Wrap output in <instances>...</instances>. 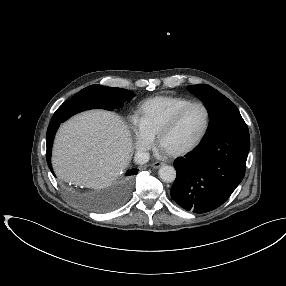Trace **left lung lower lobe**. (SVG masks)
I'll use <instances>...</instances> for the list:
<instances>
[{
    "mask_svg": "<svg viewBox=\"0 0 286 286\" xmlns=\"http://www.w3.org/2000/svg\"><path fill=\"white\" fill-rule=\"evenodd\" d=\"M249 149V131H225L204 138L194 152L175 161L172 199L195 213L218 208L242 181Z\"/></svg>",
    "mask_w": 286,
    "mask_h": 286,
    "instance_id": "left-lung-lower-lobe-1",
    "label": "left lung lower lobe"
}]
</instances>
